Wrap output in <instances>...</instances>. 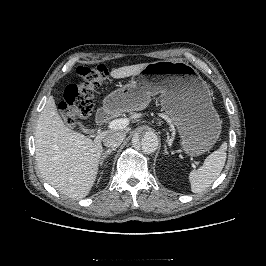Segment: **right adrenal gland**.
Returning a JSON list of instances; mask_svg holds the SVG:
<instances>
[{"label":"right adrenal gland","mask_w":266,"mask_h":266,"mask_svg":"<svg viewBox=\"0 0 266 266\" xmlns=\"http://www.w3.org/2000/svg\"><path fill=\"white\" fill-rule=\"evenodd\" d=\"M113 151H116V148H111L106 150L101 157V161L100 164L103 165V163L105 162V159L108 157V155H110Z\"/></svg>","instance_id":"right-adrenal-gland-1"}]
</instances>
